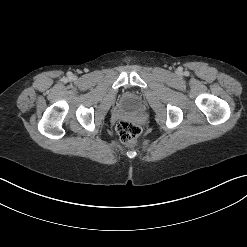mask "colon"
<instances>
[{
	"label": "colon",
	"mask_w": 247,
	"mask_h": 247,
	"mask_svg": "<svg viewBox=\"0 0 247 247\" xmlns=\"http://www.w3.org/2000/svg\"><path fill=\"white\" fill-rule=\"evenodd\" d=\"M116 131L121 142L124 145L131 147L136 143V140L140 136L142 129L140 125L135 122L121 120L116 125Z\"/></svg>",
	"instance_id": "colon-1"
}]
</instances>
